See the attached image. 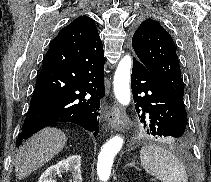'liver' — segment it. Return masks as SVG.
<instances>
[{"instance_id": "liver-1", "label": "liver", "mask_w": 211, "mask_h": 182, "mask_svg": "<svg viewBox=\"0 0 211 182\" xmlns=\"http://www.w3.org/2000/svg\"><path fill=\"white\" fill-rule=\"evenodd\" d=\"M67 141L66 135L59 129L46 128L33 135L18 150L15 158L17 179L28 177L58 154Z\"/></svg>"}]
</instances>
